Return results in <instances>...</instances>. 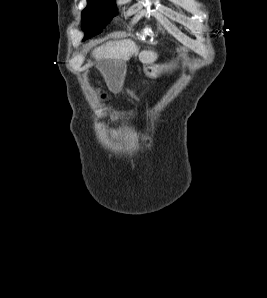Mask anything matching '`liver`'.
Listing matches in <instances>:
<instances>
[{
    "instance_id": "obj_1",
    "label": "liver",
    "mask_w": 267,
    "mask_h": 298,
    "mask_svg": "<svg viewBox=\"0 0 267 298\" xmlns=\"http://www.w3.org/2000/svg\"><path fill=\"white\" fill-rule=\"evenodd\" d=\"M139 52V47L130 39L108 42L96 48L92 55L97 59H111L128 61L132 55ZM158 59V54L151 49L143 50L139 53L141 63L153 64Z\"/></svg>"
}]
</instances>
